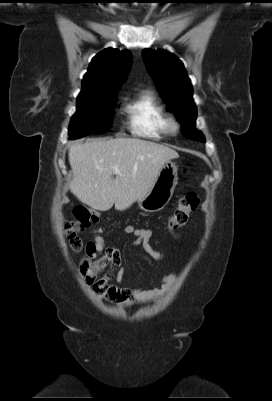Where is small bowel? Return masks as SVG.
Segmentation results:
<instances>
[{"label": "small bowel", "mask_w": 272, "mask_h": 401, "mask_svg": "<svg viewBox=\"0 0 272 401\" xmlns=\"http://www.w3.org/2000/svg\"><path fill=\"white\" fill-rule=\"evenodd\" d=\"M123 232L126 235H132L135 238V244L141 245L150 256L161 258V255L150 244L152 232L149 229L127 225L124 227ZM107 268L110 269V273L101 275ZM80 270L98 292L106 294L122 305L158 300L173 287L177 278L175 273L162 276L159 279L160 288L131 289L111 284L112 280L118 284L122 282L125 269L122 266L118 249L107 247L104 240L98 235L88 242L85 256L80 263Z\"/></svg>", "instance_id": "1"}]
</instances>
